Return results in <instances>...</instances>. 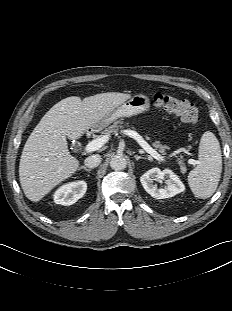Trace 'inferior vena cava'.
<instances>
[{
  "mask_svg": "<svg viewBox=\"0 0 232 311\" xmlns=\"http://www.w3.org/2000/svg\"><path fill=\"white\" fill-rule=\"evenodd\" d=\"M101 159V156L98 154L91 155L85 159L84 164L88 168H95L99 166V164L101 163Z\"/></svg>",
  "mask_w": 232,
  "mask_h": 311,
  "instance_id": "1",
  "label": "inferior vena cava"
}]
</instances>
